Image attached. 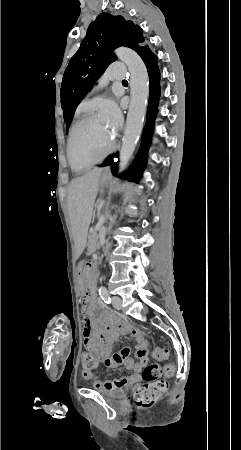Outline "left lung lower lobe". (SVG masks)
<instances>
[{"mask_svg":"<svg viewBox=\"0 0 241 450\" xmlns=\"http://www.w3.org/2000/svg\"><path fill=\"white\" fill-rule=\"evenodd\" d=\"M140 57L144 61L150 78V97L147 110V121L142 137L141 147L128 172L127 179L138 181L141 177L147 161V152L150 146L151 136L153 132V124L157 114V105L160 96V71L158 69L157 57L150 50H145ZM118 153L108 156L101 167L111 165L112 172L117 174V164L114 159L118 157Z\"/></svg>","mask_w":241,"mask_h":450,"instance_id":"0a47b994","label":"left lung lower lobe"}]
</instances>
